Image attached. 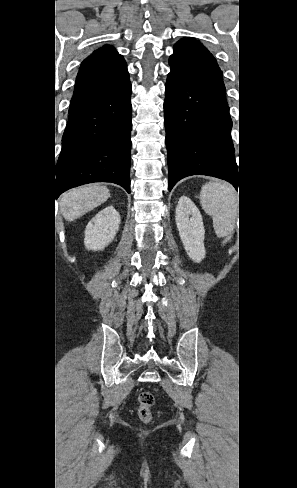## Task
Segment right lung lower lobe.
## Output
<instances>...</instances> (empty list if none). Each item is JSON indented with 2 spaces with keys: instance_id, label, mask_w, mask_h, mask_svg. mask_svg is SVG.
<instances>
[{
  "instance_id": "98d812e1",
  "label": "right lung lower lobe",
  "mask_w": 297,
  "mask_h": 488,
  "mask_svg": "<svg viewBox=\"0 0 297 488\" xmlns=\"http://www.w3.org/2000/svg\"><path fill=\"white\" fill-rule=\"evenodd\" d=\"M131 83L123 76L69 109L55 194L92 182H112L130 193Z\"/></svg>"
}]
</instances>
